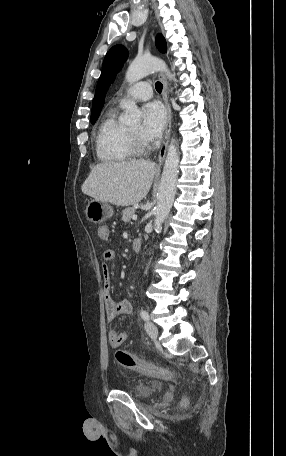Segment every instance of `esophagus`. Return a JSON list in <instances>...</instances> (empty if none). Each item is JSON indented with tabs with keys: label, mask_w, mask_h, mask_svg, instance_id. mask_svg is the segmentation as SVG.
Returning <instances> with one entry per match:
<instances>
[{
	"label": "esophagus",
	"mask_w": 286,
	"mask_h": 456,
	"mask_svg": "<svg viewBox=\"0 0 286 456\" xmlns=\"http://www.w3.org/2000/svg\"><path fill=\"white\" fill-rule=\"evenodd\" d=\"M159 77L162 81V84H163V91H162V98H163V101H164V104H165V107H166V110H167V123H166V131H165V138H164V141L161 145V148L159 150V155H158V161L159 163L161 164L165 158V155H166V151H167V146H168V143H169V139H170V131H171V107H170V104H169V101H168V96H167V80L164 76L163 73H160L159 74Z\"/></svg>",
	"instance_id": "34e87169"
}]
</instances>
